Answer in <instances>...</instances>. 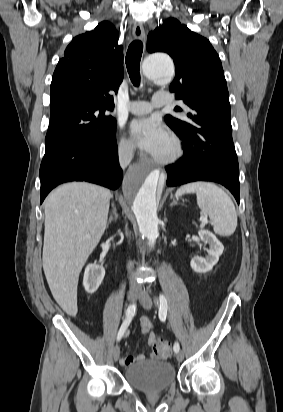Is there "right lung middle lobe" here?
Returning a JSON list of instances; mask_svg holds the SVG:
<instances>
[{
	"label": "right lung middle lobe",
	"mask_w": 283,
	"mask_h": 412,
	"mask_svg": "<svg viewBox=\"0 0 283 412\" xmlns=\"http://www.w3.org/2000/svg\"><path fill=\"white\" fill-rule=\"evenodd\" d=\"M108 110L111 109L98 105L74 104L65 113L50 115L45 148L73 138L97 141L113 135L116 120L108 115Z\"/></svg>",
	"instance_id": "1"
}]
</instances>
